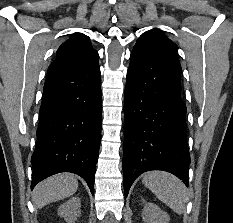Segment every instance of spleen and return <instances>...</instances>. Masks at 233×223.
I'll return each instance as SVG.
<instances>
[{
    "instance_id": "3e777b00",
    "label": "spleen",
    "mask_w": 233,
    "mask_h": 223,
    "mask_svg": "<svg viewBox=\"0 0 233 223\" xmlns=\"http://www.w3.org/2000/svg\"><path fill=\"white\" fill-rule=\"evenodd\" d=\"M142 183L155 193L158 199L169 205L176 213L185 211V203L188 201V189L181 179L166 173V171H148L145 173Z\"/></svg>"
}]
</instances>
